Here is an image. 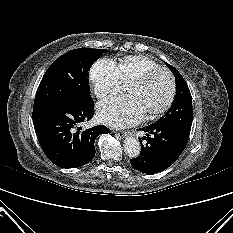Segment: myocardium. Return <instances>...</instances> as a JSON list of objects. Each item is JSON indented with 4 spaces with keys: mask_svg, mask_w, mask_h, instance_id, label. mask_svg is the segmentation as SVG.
<instances>
[{
    "mask_svg": "<svg viewBox=\"0 0 233 233\" xmlns=\"http://www.w3.org/2000/svg\"><path fill=\"white\" fill-rule=\"evenodd\" d=\"M158 72H163L165 73L170 81V91L169 95L166 99V101L163 103L161 107H159L157 110L147 113L146 118L147 119H154L165 113L169 107L172 105L175 95H176V80L174 75L170 70L164 67H156V68H151L140 74L139 76L135 77L130 81V83H135V84H143L145 83L151 76Z\"/></svg>",
    "mask_w": 233,
    "mask_h": 233,
    "instance_id": "obj_1",
    "label": "myocardium"
}]
</instances>
